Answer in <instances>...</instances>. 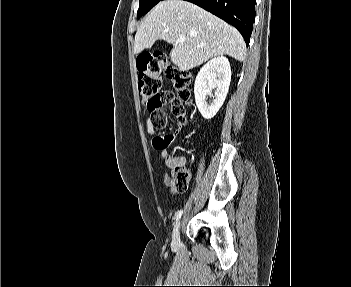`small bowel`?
<instances>
[{"label":"small bowel","instance_id":"c3829d8e","mask_svg":"<svg viewBox=\"0 0 351 287\" xmlns=\"http://www.w3.org/2000/svg\"><path fill=\"white\" fill-rule=\"evenodd\" d=\"M186 122H187V117H185ZM186 124V123H185ZM183 124L180 119L178 118V124H177V129L170 134L164 135V136H155L156 135V129L153 127L152 122L150 119H146L145 125H146V130L149 134L154 135L151 136V141H152V147L154 148L155 152H162L163 148H171V143L176 139L179 131L182 129V127L185 125ZM162 159L165 161V163L169 166H171L174 163L177 164H183L184 160L181 158H174L171 159L166 153H161ZM164 182L170 187H173V181L172 179L165 174L164 175Z\"/></svg>","mask_w":351,"mask_h":287}]
</instances>
